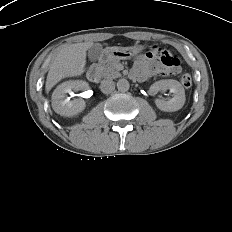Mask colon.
<instances>
[{"mask_svg":"<svg viewBox=\"0 0 232 232\" xmlns=\"http://www.w3.org/2000/svg\"><path fill=\"white\" fill-rule=\"evenodd\" d=\"M147 57L166 68L168 74H173L180 67L179 59L166 49L155 47L147 53ZM181 83L185 88H190L192 86V77L187 73L183 74Z\"/></svg>","mask_w":232,"mask_h":232,"instance_id":"5ec220e1","label":"colon"}]
</instances>
